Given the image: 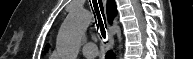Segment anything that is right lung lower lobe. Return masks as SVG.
Returning a JSON list of instances; mask_svg holds the SVG:
<instances>
[{
  "label": "right lung lower lobe",
  "mask_w": 193,
  "mask_h": 59,
  "mask_svg": "<svg viewBox=\"0 0 193 59\" xmlns=\"http://www.w3.org/2000/svg\"><path fill=\"white\" fill-rule=\"evenodd\" d=\"M111 58V52H108L106 55V59H110Z\"/></svg>",
  "instance_id": "1"
}]
</instances>
